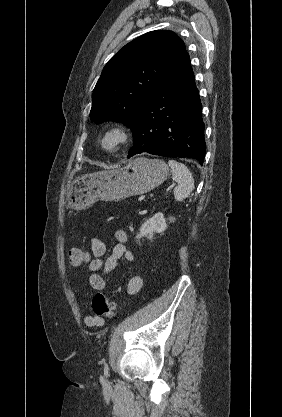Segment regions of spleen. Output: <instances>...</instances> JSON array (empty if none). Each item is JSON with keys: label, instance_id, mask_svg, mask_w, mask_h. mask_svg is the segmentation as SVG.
Returning <instances> with one entry per match:
<instances>
[{"label": "spleen", "instance_id": "spleen-1", "mask_svg": "<svg viewBox=\"0 0 282 417\" xmlns=\"http://www.w3.org/2000/svg\"><path fill=\"white\" fill-rule=\"evenodd\" d=\"M168 164L171 166L172 178L177 182V186L174 188V198L184 200L193 190L194 178L192 172L183 162L168 160Z\"/></svg>", "mask_w": 282, "mask_h": 417}]
</instances>
